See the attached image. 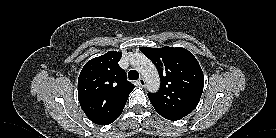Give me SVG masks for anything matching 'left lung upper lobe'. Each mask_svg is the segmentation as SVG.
<instances>
[{"instance_id":"5c2ea615","label":"left lung upper lobe","mask_w":276,"mask_h":138,"mask_svg":"<svg viewBox=\"0 0 276 138\" xmlns=\"http://www.w3.org/2000/svg\"><path fill=\"white\" fill-rule=\"evenodd\" d=\"M157 67L161 86L148 97L155 110L168 120H179L199 103L204 87V76L197 59L181 47L159 49L141 47Z\"/></svg>"}]
</instances>
